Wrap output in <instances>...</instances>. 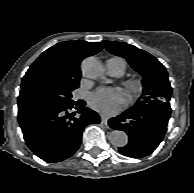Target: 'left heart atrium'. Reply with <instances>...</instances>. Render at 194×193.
Wrapping results in <instances>:
<instances>
[{"label": "left heart atrium", "instance_id": "1", "mask_svg": "<svg viewBox=\"0 0 194 193\" xmlns=\"http://www.w3.org/2000/svg\"><path fill=\"white\" fill-rule=\"evenodd\" d=\"M125 104V94L119 88H99L90 98L91 108L104 115L116 114Z\"/></svg>", "mask_w": 194, "mask_h": 193}]
</instances>
